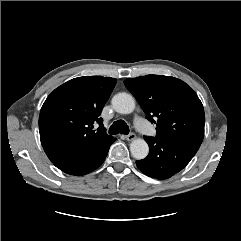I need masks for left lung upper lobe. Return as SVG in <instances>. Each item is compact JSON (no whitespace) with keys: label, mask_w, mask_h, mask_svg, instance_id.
Wrapping results in <instances>:
<instances>
[{"label":"left lung upper lobe","mask_w":241,"mask_h":241,"mask_svg":"<svg viewBox=\"0 0 241 241\" xmlns=\"http://www.w3.org/2000/svg\"><path fill=\"white\" fill-rule=\"evenodd\" d=\"M125 86L138 100L146 118L156 123L157 137L201 144L205 114L194 90L171 76L128 78Z\"/></svg>","instance_id":"5c2ea615"}]
</instances>
